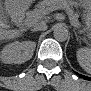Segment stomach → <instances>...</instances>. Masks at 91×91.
Listing matches in <instances>:
<instances>
[{"label":"stomach","instance_id":"0dacf381","mask_svg":"<svg viewBox=\"0 0 91 91\" xmlns=\"http://www.w3.org/2000/svg\"><path fill=\"white\" fill-rule=\"evenodd\" d=\"M85 20H86V23H87V25H88V27H89V23H90V14H89V13L86 14Z\"/></svg>","mask_w":91,"mask_h":91}]
</instances>
